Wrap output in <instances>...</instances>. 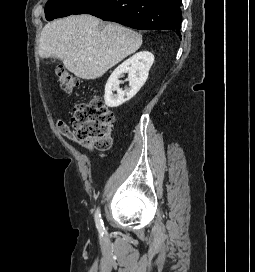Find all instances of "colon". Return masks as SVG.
Listing matches in <instances>:
<instances>
[{"instance_id":"5ec220e1","label":"colon","mask_w":255,"mask_h":272,"mask_svg":"<svg viewBox=\"0 0 255 272\" xmlns=\"http://www.w3.org/2000/svg\"><path fill=\"white\" fill-rule=\"evenodd\" d=\"M60 88L71 93L80 85L79 79L64 68L57 70ZM114 113L102 99L92 97L74 107L71 125L76 138L97 150H108L112 144Z\"/></svg>"}]
</instances>
